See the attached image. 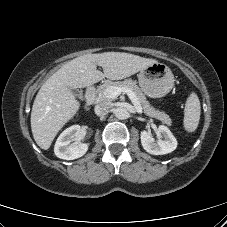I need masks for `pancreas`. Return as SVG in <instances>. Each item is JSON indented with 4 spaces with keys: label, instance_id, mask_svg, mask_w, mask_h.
I'll return each mask as SVG.
<instances>
[{
    "label": "pancreas",
    "instance_id": "cf45deb5",
    "mask_svg": "<svg viewBox=\"0 0 227 227\" xmlns=\"http://www.w3.org/2000/svg\"><path fill=\"white\" fill-rule=\"evenodd\" d=\"M111 86L130 88L135 93L144 113L147 116L156 118L164 124L171 125L172 121H171V118L169 117V115H167L165 112H160V111L156 110L155 108L151 107L149 102L147 101L144 93L142 92V90L138 87L136 82L131 79H125L124 81H116V82H112L109 80L105 81L96 90L100 101L110 99L104 95V92L107 88H109Z\"/></svg>",
    "mask_w": 227,
    "mask_h": 227
}]
</instances>
